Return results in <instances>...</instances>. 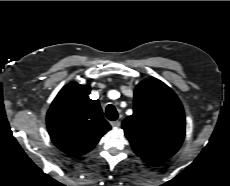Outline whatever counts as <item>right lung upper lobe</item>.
<instances>
[{
    "label": "right lung upper lobe",
    "instance_id": "cb5924a9",
    "mask_svg": "<svg viewBox=\"0 0 230 186\" xmlns=\"http://www.w3.org/2000/svg\"><path fill=\"white\" fill-rule=\"evenodd\" d=\"M89 93V85L71 82L61 89L47 113L51 140L71 156L89 152L111 129L99 103L91 100Z\"/></svg>",
    "mask_w": 230,
    "mask_h": 186
}]
</instances>
